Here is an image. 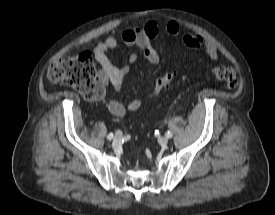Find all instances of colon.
Segmentation results:
<instances>
[{
  "label": "colon",
  "mask_w": 275,
  "mask_h": 215,
  "mask_svg": "<svg viewBox=\"0 0 275 215\" xmlns=\"http://www.w3.org/2000/svg\"><path fill=\"white\" fill-rule=\"evenodd\" d=\"M210 74L227 89L233 90L239 85L237 75L228 67L214 66ZM176 77V74L168 73L157 79L152 97L170 88ZM48 80L53 85L76 89L87 100H100L104 96V88L96 77L93 59L88 52L54 59L48 69Z\"/></svg>",
  "instance_id": "5ec220e1"
}]
</instances>
